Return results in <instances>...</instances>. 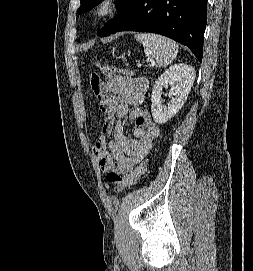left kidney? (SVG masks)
<instances>
[{
    "label": "left kidney",
    "instance_id": "5707ae66",
    "mask_svg": "<svg viewBox=\"0 0 253 271\" xmlns=\"http://www.w3.org/2000/svg\"><path fill=\"white\" fill-rule=\"evenodd\" d=\"M196 72L187 64H176L167 69L155 82L151 96V112L155 123L164 124L175 116L185 103L193 86ZM170 85L168 106L162 104L163 88Z\"/></svg>",
    "mask_w": 253,
    "mask_h": 271
}]
</instances>
